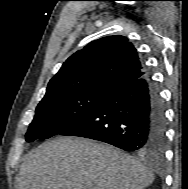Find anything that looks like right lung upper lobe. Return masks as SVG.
<instances>
[{
  "instance_id": "cb5924a9",
  "label": "right lung upper lobe",
  "mask_w": 188,
  "mask_h": 189,
  "mask_svg": "<svg viewBox=\"0 0 188 189\" xmlns=\"http://www.w3.org/2000/svg\"><path fill=\"white\" fill-rule=\"evenodd\" d=\"M145 74L132 43L123 36H108L70 56L50 80L45 96L96 88L113 91Z\"/></svg>"
}]
</instances>
